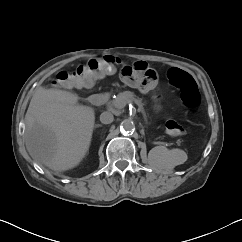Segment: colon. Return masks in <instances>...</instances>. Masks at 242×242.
Wrapping results in <instances>:
<instances>
[{"label":"colon","mask_w":242,"mask_h":242,"mask_svg":"<svg viewBox=\"0 0 242 242\" xmlns=\"http://www.w3.org/2000/svg\"><path fill=\"white\" fill-rule=\"evenodd\" d=\"M121 65V59L113 55L91 59L75 69L60 72L54 83L64 88H89L99 74L115 71ZM121 74L126 80L137 82L142 87L152 88L157 81L155 71L146 64L141 66H136V63L125 64L122 66ZM168 78L173 86L181 90V100L186 108L195 109L199 106L200 92L190 74L178 68H172ZM166 131L169 135L177 136L183 133V128L176 121H168Z\"/></svg>","instance_id":"obj_1"}]
</instances>
